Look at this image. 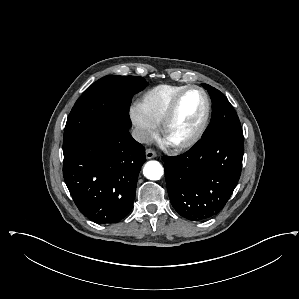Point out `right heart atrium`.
I'll return each mask as SVG.
<instances>
[{
	"label": "right heart atrium",
	"mask_w": 299,
	"mask_h": 299,
	"mask_svg": "<svg viewBox=\"0 0 299 299\" xmlns=\"http://www.w3.org/2000/svg\"><path fill=\"white\" fill-rule=\"evenodd\" d=\"M130 118L136 128L137 139L140 142L147 143L155 137L157 126L142 113L138 105L131 107Z\"/></svg>",
	"instance_id": "1"
}]
</instances>
